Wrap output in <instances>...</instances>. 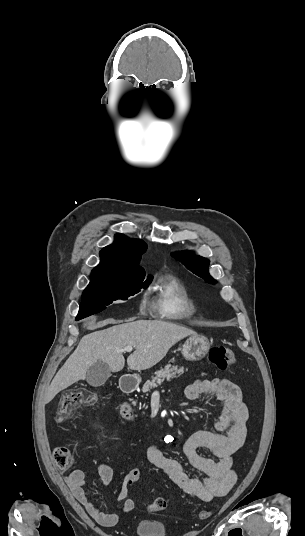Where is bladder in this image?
I'll return each mask as SVG.
<instances>
[{"label": "bladder", "instance_id": "31cf9c89", "mask_svg": "<svg viewBox=\"0 0 305 536\" xmlns=\"http://www.w3.org/2000/svg\"><path fill=\"white\" fill-rule=\"evenodd\" d=\"M137 536H168L167 524L162 521L140 519L135 523Z\"/></svg>", "mask_w": 305, "mask_h": 536}]
</instances>
